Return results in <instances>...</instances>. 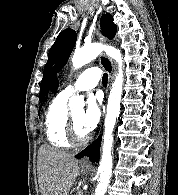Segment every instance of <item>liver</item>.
Instances as JSON below:
<instances>
[{
    "mask_svg": "<svg viewBox=\"0 0 178 195\" xmlns=\"http://www.w3.org/2000/svg\"><path fill=\"white\" fill-rule=\"evenodd\" d=\"M37 171L41 195H68L79 175V161L71 154L42 145Z\"/></svg>",
    "mask_w": 178,
    "mask_h": 195,
    "instance_id": "1",
    "label": "liver"
}]
</instances>
